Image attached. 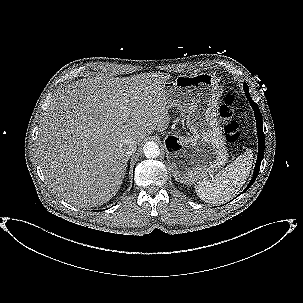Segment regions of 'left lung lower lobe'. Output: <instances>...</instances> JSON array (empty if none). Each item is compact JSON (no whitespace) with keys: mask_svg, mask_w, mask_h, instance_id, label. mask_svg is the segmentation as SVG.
Instances as JSON below:
<instances>
[{"mask_svg":"<svg viewBox=\"0 0 303 303\" xmlns=\"http://www.w3.org/2000/svg\"><path fill=\"white\" fill-rule=\"evenodd\" d=\"M244 91H245L247 99L250 102V104H251V106L254 110V113H255V118H256V122H257V132H258V144H259L258 158H257V161H256L253 177L250 180L246 189L244 190V191H246L254 183V181L256 180V178L258 176L261 161H262L263 156H264L265 137H264L263 128H262L263 122H262V117H261L260 110L258 108V105L251 99L250 94H249V90H248V86L245 83H244Z\"/></svg>","mask_w":303,"mask_h":303,"instance_id":"1","label":"left lung lower lobe"}]
</instances>
